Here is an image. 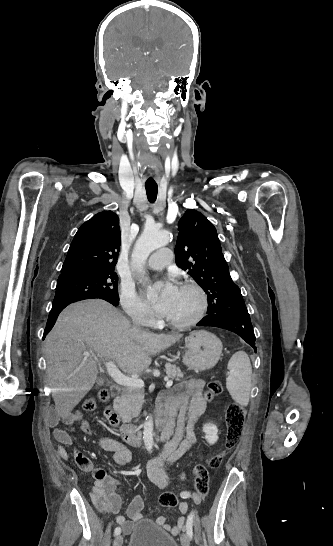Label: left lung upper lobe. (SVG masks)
<instances>
[{
    "instance_id": "left-lung-upper-lobe-1",
    "label": "left lung upper lobe",
    "mask_w": 333,
    "mask_h": 546,
    "mask_svg": "<svg viewBox=\"0 0 333 546\" xmlns=\"http://www.w3.org/2000/svg\"><path fill=\"white\" fill-rule=\"evenodd\" d=\"M176 264L203 288L208 315L245 307L239 287L232 281L214 225L196 210L185 212L178 224Z\"/></svg>"
}]
</instances>
